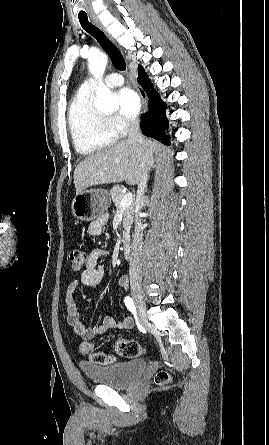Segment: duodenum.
Listing matches in <instances>:
<instances>
[{
    "label": "duodenum",
    "instance_id": "1",
    "mask_svg": "<svg viewBox=\"0 0 269 445\" xmlns=\"http://www.w3.org/2000/svg\"><path fill=\"white\" fill-rule=\"evenodd\" d=\"M122 253L125 258H130L131 256V242L125 241L122 248Z\"/></svg>",
    "mask_w": 269,
    "mask_h": 445
}]
</instances>
